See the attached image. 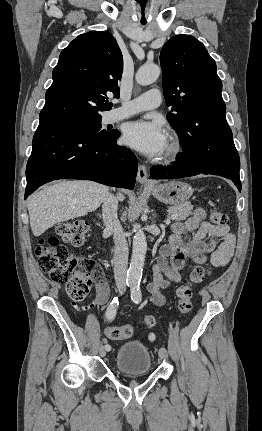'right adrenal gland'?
<instances>
[{
  "label": "right adrenal gland",
  "instance_id": "obj_1",
  "mask_svg": "<svg viewBox=\"0 0 262 431\" xmlns=\"http://www.w3.org/2000/svg\"><path fill=\"white\" fill-rule=\"evenodd\" d=\"M98 217H99V218H102L101 214H98Z\"/></svg>",
  "mask_w": 262,
  "mask_h": 431
}]
</instances>
